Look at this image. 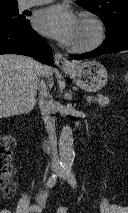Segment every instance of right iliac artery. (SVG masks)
I'll use <instances>...</instances> for the list:
<instances>
[{
  "label": "right iliac artery",
  "instance_id": "obj_1",
  "mask_svg": "<svg viewBox=\"0 0 128 213\" xmlns=\"http://www.w3.org/2000/svg\"><path fill=\"white\" fill-rule=\"evenodd\" d=\"M61 167H64V165H61ZM56 181H57V174L51 175L47 180V187L52 188L56 184Z\"/></svg>",
  "mask_w": 128,
  "mask_h": 213
}]
</instances>
